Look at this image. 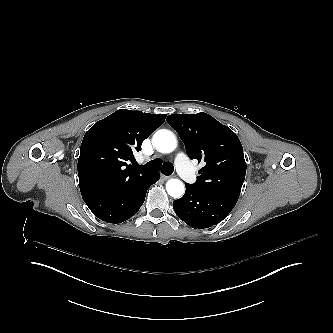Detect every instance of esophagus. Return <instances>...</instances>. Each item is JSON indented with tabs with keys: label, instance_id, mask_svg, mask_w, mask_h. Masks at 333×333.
Masks as SVG:
<instances>
[{
	"label": "esophagus",
	"instance_id": "obj_1",
	"mask_svg": "<svg viewBox=\"0 0 333 333\" xmlns=\"http://www.w3.org/2000/svg\"><path fill=\"white\" fill-rule=\"evenodd\" d=\"M161 178L166 181V180L170 179L171 176L161 175Z\"/></svg>",
	"mask_w": 333,
	"mask_h": 333
}]
</instances>
